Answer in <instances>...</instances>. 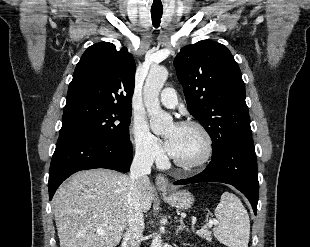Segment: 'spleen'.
<instances>
[{
  "instance_id": "spleen-1",
  "label": "spleen",
  "mask_w": 310,
  "mask_h": 247,
  "mask_svg": "<svg viewBox=\"0 0 310 247\" xmlns=\"http://www.w3.org/2000/svg\"><path fill=\"white\" fill-rule=\"evenodd\" d=\"M214 214L219 224L213 232L220 243L227 247H248L249 215L235 194L224 192Z\"/></svg>"
}]
</instances>
